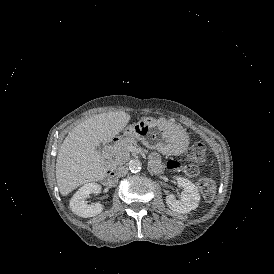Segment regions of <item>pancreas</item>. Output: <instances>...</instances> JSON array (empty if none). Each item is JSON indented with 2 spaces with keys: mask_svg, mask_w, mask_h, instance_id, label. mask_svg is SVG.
<instances>
[{
  "mask_svg": "<svg viewBox=\"0 0 274 274\" xmlns=\"http://www.w3.org/2000/svg\"><path fill=\"white\" fill-rule=\"evenodd\" d=\"M134 144V139L128 137L116 142L114 146L109 148L105 155L110 159L113 167L125 164L129 160L128 147Z\"/></svg>",
  "mask_w": 274,
  "mask_h": 274,
  "instance_id": "1",
  "label": "pancreas"
}]
</instances>
